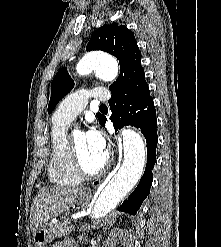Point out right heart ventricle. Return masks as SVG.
Here are the masks:
<instances>
[{
  "mask_svg": "<svg viewBox=\"0 0 221 247\" xmlns=\"http://www.w3.org/2000/svg\"><path fill=\"white\" fill-rule=\"evenodd\" d=\"M65 128L66 123L53 119L48 176L55 185L76 186L80 183L81 177L74 169Z\"/></svg>",
  "mask_w": 221,
  "mask_h": 247,
  "instance_id": "e07e8e85",
  "label": "right heart ventricle"
}]
</instances>
